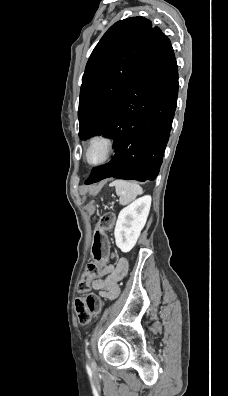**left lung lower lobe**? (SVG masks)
Here are the masks:
<instances>
[{
    "instance_id": "1",
    "label": "left lung lower lobe",
    "mask_w": 228,
    "mask_h": 396,
    "mask_svg": "<svg viewBox=\"0 0 228 396\" xmlns=\"http://www.w3.org/2000/svg\"><path fill=\"white\" fill-rule=\"evenodd\" d=\"M177 95V63L170 40L161 32L102 133L114 139L115 157L94 168L85 184L109 177L155 180L169 139Z\"/></svg>"
}]
</instances>
